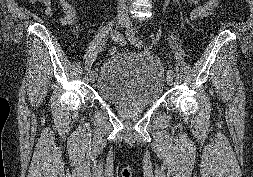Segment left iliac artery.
I'll return each mask as SVG.
<instances>
[{"label":"left iliac artery","mask_w":253,"mask_h":177,"mask_svg":"<svg viewBox=\"0 0 253 177\" xmlns=\"http://www.w3.org/2000/svg\"><path fill=\"white\" fill-rule=\"evenodd\" d=\"M126 36H127V39L132 42V44L138 47H141L144 45L143 42L137 36H135V34H132L130 31H126ZM167 75L174 76V71L172 69H169L167 71Z\"/></svg>","instance_id":"obj_1"}]
</instances>
